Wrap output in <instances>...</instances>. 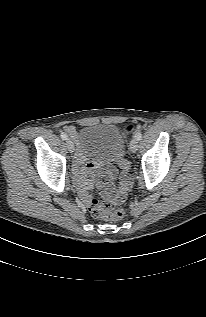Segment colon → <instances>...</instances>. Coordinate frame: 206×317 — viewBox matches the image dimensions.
<instances>
[{
    "label": "colon",
    "mask_w": 206,
    "mask_h": 317,
    "mask_svg": "<svg viewBox=\"0 0 206 317\" xmlns=\"http://www.w3.org/2000/svg\"><path fill=\"white\" fill-rule=\"evenodd\" d=\"M122 168L123 171H129L126 162L122 163ZM88 208L94 217L109 221H116L124 216V210L115 208L111 201H97L93 199Z\"/></svg>",
    "instance_id": "colon-1"
}]
</instances>
